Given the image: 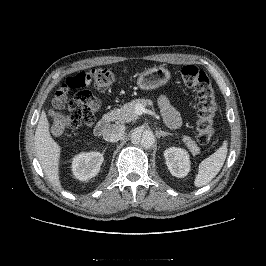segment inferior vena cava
<instances>
[{
    "label": "inferior vena cava",
    "instance_id": "inferior-vena-cava-1",
    "mask_svg": "<svg viewBox=\"0 0 266 266\" xmlns=\"http://www.w3.org/2000/svg\"><path fill=\"white\" fill-rule=\"evenodd\" d=\"M125 132V127L123 125L111 124L103 133L104 140L108 142L119 141Z\"/></svg>",
    "mask_w": 266,
    "mask_h": 266
}]
</instances>
